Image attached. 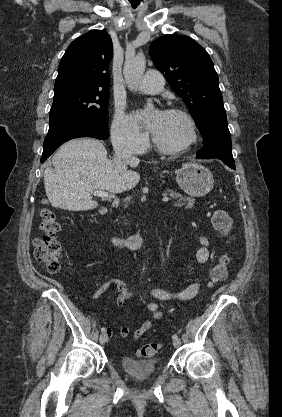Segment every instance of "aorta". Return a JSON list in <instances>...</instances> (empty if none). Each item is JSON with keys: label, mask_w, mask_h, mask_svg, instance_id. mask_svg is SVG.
Masks as SVG:
<instances>
[{"label": "aorta", "mask_w": 282, "mask_h": 417, "mask_svg": "<svg viewBox=\"0 0 282 417\" xmlns=\"http://www.w3.org/2000/svg\"><path fill=\"white\" fill-rule=\"evenodd\" d=\"M146 66L145 56H132V58H126L123 66L124 78L129 88H135L138 80H140ZM153 106V104H149Z\"/></svg>", "instance_id": "obj_1"}]
</instances>
